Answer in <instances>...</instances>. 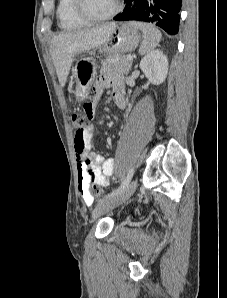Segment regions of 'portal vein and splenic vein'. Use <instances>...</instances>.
Instances as JSON below:
<instances>
[{"instance_id": "obj_1", "label": "portal vein and splenic vein", "mask_w": 227, "mask_h": 298, "mask_svg": "<svg viewBox=\"0 0 227 298\" xmlns=\"http://www.w3.org/2000/svg\"><path fill=\"white\" fill-rule=\"evenodd\" d=\"M127 59H128V60H133V57H132L131 55H128V56H127Z\"/></svg>"}]
</instances>
